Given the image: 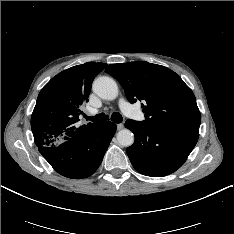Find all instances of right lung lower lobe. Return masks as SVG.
<instances>
[{
  "instance_id": "1",
  "label": "right lung lower lobe",
  "mask_w": 234,
  "mask_h": 234,
  "mask_svg": "<svg viewBox=\"0 0 234 234\" xmlns=\"http://www.w3.org/2000/svg\"><path fill=\"white\" fill-rule=\"evenodd\" d=\"M116 132V124H93L83 132L53 146H39V152L62 176L80 179L92 175L101 164Z\"/></svg>"
}]
</instances>
